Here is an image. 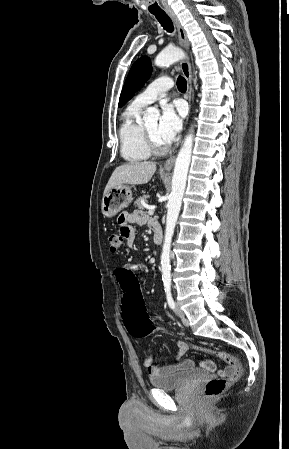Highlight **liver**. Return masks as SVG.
<instances>
[{"mask_svg": "<svg viewBox=\"0 0 289 449\" xmlns=\"http://www.w3.org/2000/svg\"><path fill=\"white\" fill-rule=\"evenodd\" d=\"M156 171L153 162H131L117 167L112 173L104 190V195L113 187L121 184L141 185L150 181Z\"/></svg>", "mask_w": 289, "mask_h": 449, "instance_id": "obj_1", "label": "liver"}]
</instances>
